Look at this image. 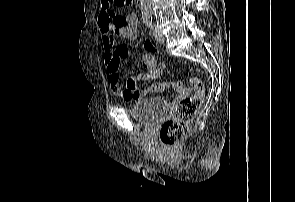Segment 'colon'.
Returning a JSON list of instances; mask_svg holds the SVG:
<instances>
[{
  "label": "colon",
  "mask_w": 295,
  "mask_h": 202,
  "mask_svg": "<svg viewBox=\"0 0 295 202\" xmlns=\"http://www.w3.org/2000/svg\"><path fill=\"white\" fill-rule=\"evenodd\" d=\"M116 6H131L133 0H110ZM142 65L149 71V74H158L160 76L167 68L164 63H157V56H153V52H146V56H141ZM139 83L138 79H129L127 83V90H136V84ZM191 85L194 93L190 95V98H183L179 107H176L174 116L167 119L161 126L160 139L169 146H175L180 143L188 134L189 125L196 115L197 111L202 105L205 88L202 81L193 77L191 79ZM167 89H172L177 92H181L184 86L179 81H166L155 83L151 85H145V90H155V92H161Z\"/></svg>",
  "instance_id": "colon-1"
}]
</instances>
